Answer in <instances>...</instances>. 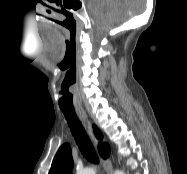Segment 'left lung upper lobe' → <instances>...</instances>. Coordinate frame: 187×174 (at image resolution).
Listing matches in <instances>:
<instances>
[{
  "instance_id": "obj_1",
  "label": "left lung upper lobe",
  "mask_w": 187,
  "mask_h": 174,
  "mask_svg": "<svg viewBox=\"0 0 187 174\" xmlns=\"http://www.w3.org/2000/svg\"><path fill=\"white\" fill-rule=\"evenodd\" d=\"M73 167V160L71 155V149L68 144H64L58 150L49 174H71Z\"/></svg>"
}]
</instances>
